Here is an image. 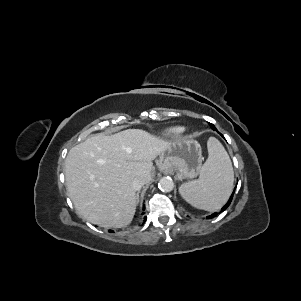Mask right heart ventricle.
Here are the masks:
<instances>
[{
	"mask_svg": "<svg viewBox=\"0 0 301 301\" xmlns=\"http://www.w3.org/2000/svg\"><path fill=\"white\" fill-rule=\"evenodd\" d=\"M184 132V128L181 126H172L164 129L162 134L167 137H175Z\"/></svg>",
	"mask_w": 301,
	"mask_h": 301,
	"instance_id": "e07e8e85",
	"label": "right heart ventricle"
}]
</instances>
